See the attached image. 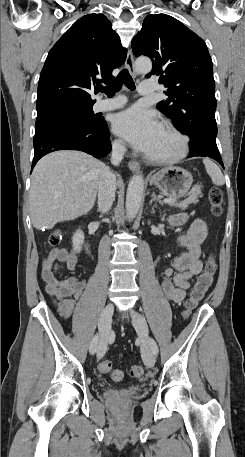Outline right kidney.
<instances>
[{
	"mask_svg": "<svg viewBox=\"0 0 245 457\" xmlns=\"http://www.w3.org/2000/svg\"><path fill=\"white\" fill-rule=\"evenodd\" d=\"M84 239H85V237H84L83 231H80V229H78V231H76V233H74L73 239H72V243L74 245V249H75L76 253H80Z\"/></svg>",
	"mask_w": 245,
	"mask_h": 457,
	"instance_id": "obj_1",
	"label": "right kidney"
}]
</instances>
